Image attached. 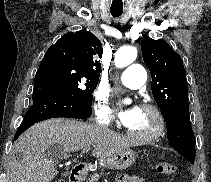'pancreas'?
Returning a JSON list of instances; mask_svg holds the SVG:
<instances>
[{"label": "pancreas", "mask_w": 211, "mask_h": 182, "mask_svg": "<svg viewBox=\"0 0 211 182\" xmlns=\"http://www.w3.org/2000/svg\"><path fill=\"white\" fill-rule=\"evenodd\" d=\"M100 175H103V171L99 173H95L94 175H91L88 182H98Z\"/></svg>", "instance_id": "1"}]
</instances>
